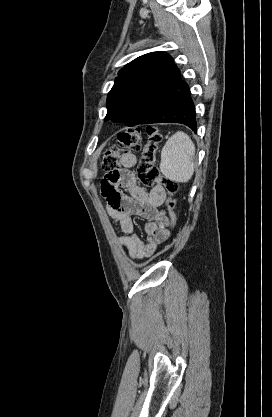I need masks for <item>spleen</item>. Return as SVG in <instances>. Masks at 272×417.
Instances as JSON below:
<instances>
[{"instance_id": "1", "label": "spleen", "mask_w": 272, "mask_h": 417, "mask_svg": "<svg viewBox=\"0 0 272 417\" xmlns=\"http://www.w3.org/2000/svg\"><path fill=\"white\" fill-rule=\"evenodd\" d=\"M195 145L182 131L172 135L161 151L160 170L169 180L185 183L194 173Z\"/></svg>"}]
</instances>
